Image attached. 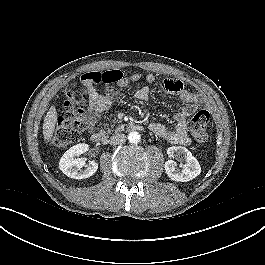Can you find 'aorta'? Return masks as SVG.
<instances>
[{
    "label": "aorta",
    "mask_w": 265,
    "mask_h": 265,
    "mask_svg": "<svg viewBox=\"0 0 265 265\" xmlns=\"http://www.w3.org/2000/svg\"><path fill=\"white\" fill-rule=\"evenodd\" d=\"M140 139H141V136L136 131L130 132L128 135V140L130 143L137 144L138 142H140Z\"/></svg>",
    "instance_id": "762f6f07"
}]
</instances>
